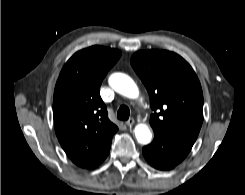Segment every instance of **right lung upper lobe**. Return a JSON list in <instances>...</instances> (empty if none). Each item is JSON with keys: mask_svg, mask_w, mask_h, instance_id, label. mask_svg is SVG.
<instances>
[{"mask_svg": "<svg viewBox=\"0 0 245 195\" xmlns=\"http://www.w3.org/2000/svg\"><path fill=\"white\" fill-rule=\"evenodd\" d=\"M117 49L92 46L75 53L56 83L53 118L58 140L68 157L82 168L98 166L118 130L109 119L99 88L120 58Z\"/></svg>", "mask_w": 245, "mask_h": 195, "instance_id": "right-lung-upper-lobe-1", "label": "right lung upper lobe"}]
</instances>
